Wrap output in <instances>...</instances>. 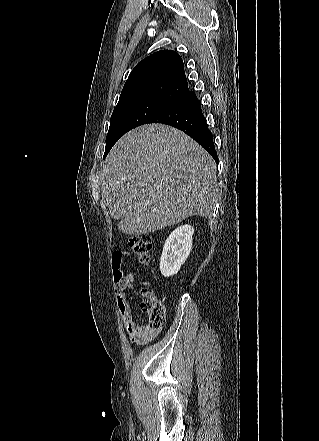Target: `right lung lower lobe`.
Segmentation results:
<instances>
[{"instance_id":"98d812e1","label":"right lung lower lobe","mask_w":319,"mask_h":441,"mask_svg":"<svg viewBox=\"0 0 319 441\" xmlns=\"http://www.w3.org/2000/svg\"><path fill=\"white\" fill-rule=\"evenodd\" d=\"M148 123L167 124L182 130L218 162L213 135L206 124L200 101L192 91H188L181 99L154 116Z\"/></svg>"}]
</instances>
